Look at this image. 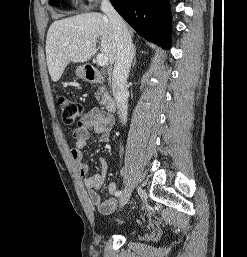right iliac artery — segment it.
Segmentation results:
<instances>
[{"label":"right iliac artery","mask_w":247,"mask_h":257,"mask_svg":"<svg viewBox=\"0 0 247 257\" xmlns=\"http://www.w3.org/2000/svg\"><path fill=\"white\" fill-rule=\"evenodd\" d=\"M120 194H121V191H118V192H117V195H120Z\"/></svg>","instance_id":"obj_1"}]
</instances>
